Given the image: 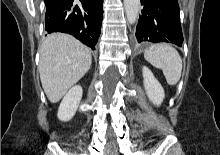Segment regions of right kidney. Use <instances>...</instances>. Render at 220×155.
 <instances>
[{
  "instance_id": "ca27d5eb",
  "label": "right kidney",
  "mask_w": 220,
  "mask_h": 155,
  "mask_svg": "<svg viewBox=\"0 0 220 155\" xmlns=\"http://www.w3.org/2000/svg\"><path fill=\"white\" fill-rule=\"evenodd\" d=\"M82 93V87L79 85L72 87L67 92L58 109L57 116L59 120L69 121L72 119L80 104Z\"/></svg>"
}]
</instances>
